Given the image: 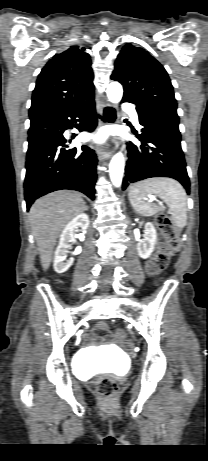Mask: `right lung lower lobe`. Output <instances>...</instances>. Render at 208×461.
Listing matches in <instances>:
<instances>
[{"mask_svg":"<svg viewBox=\"0 0 208 461\" xmlns=\"http://www.w3.org/2000/svg\"><path fill=\"white\" fill-rule=\"evenodd\" d=\"M77 121L79 124H73ZM96 125L93 99L81 108L30 126L24 182L27 210L37 198L60 189L77 190L94 199L96 154L85 145L67 150L63 133L73 126L80 132H92Z\"/></svg>","mask_w":208,"mask_h":461,"instance_id":"1","label":"right lung lower lobe"}]
</instances>
